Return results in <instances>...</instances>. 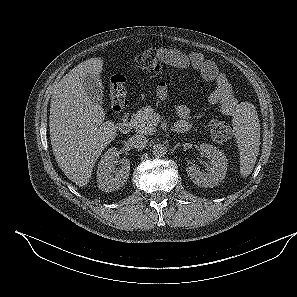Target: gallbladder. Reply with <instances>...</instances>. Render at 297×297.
I'll use <instances>...</instances> for the list:
<instances>
[{
    "label": "gallbladder",
    "mask_w": 297,
    "mask_h": 297,
    "mask_svg": "<svg viewBox=\"0 0 297 297\" xmlns=\"http://www.w3.org/2000/svg\"><path fill=\"white\" fill-rule=\"evenodd\" d=\"M83 87L87 97L97 105H102L103 103V93L101 82L98 78L87 75L83 79Z\"/></svg>",
    "instance_id": "obj_1"
}]
</instances>
